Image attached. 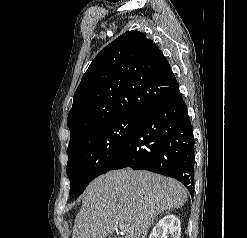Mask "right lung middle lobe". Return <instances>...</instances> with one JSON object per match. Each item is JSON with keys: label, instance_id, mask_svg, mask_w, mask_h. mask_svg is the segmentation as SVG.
I'll return each mask as SVG.
<instances>
[{"label": "right lung middle lobe", "instance_id": "right-lung-middle-lobe-1", "mask_svg": "<svg viewBox=\"0 0 247 238\" xmlns=\"http://www.w3.org/2000/svg\"><path fill=\"white\" fill-rule=\"evenodd\" d=\"M141 115L130 114L100 124L69 143L67 174L70 193L78 196L97 176L110 170Z\"/></svg>", "mask_w": 247, "mask_h": 238}]
</instances>
